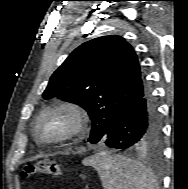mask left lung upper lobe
<instances>
[{
	"instance_id": "1",
	"label": "left lung upper lobe",
	"mask_w": 188,
	"mask_h": 189,
	"mask_svg": "<svg viewBox=\"0 0 188 189\" xmlns=\"http://www.w3.org/2000/svg\"><path fill=\"white\" fill-rule=\"evenodd\" d=\"M146 87L132 46L111 35L76 48L51 76L43 98L56 96L83 107L92 121L88 141L95 144ZM158 143L156 138L136 149L153 148Z\"/></svg>"
}]
</instances>
